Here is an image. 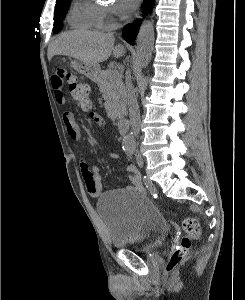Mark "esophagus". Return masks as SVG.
<instances>
[{
  "mask_svg": "<svg viewBox=\"0 0 245 300\" xmlns=\"http://www.w3.org/2000/svg\"><path fill=\"white\" fill-rule=\"evenodd\" d=\"M141 17V14L140 13H137L136 14V19L140 18Z\"/></svg>",
  "mask_w": 245,
  "mask_h": 300,
  "instance_id": "obj_1",
  "label": "esophagus"
}]
</instances>
